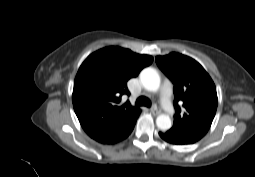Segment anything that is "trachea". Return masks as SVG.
<instances>
[{"mask_svg": "<svg viewBox=\"0 0 255 177\" xmlns=\"http://www.w3.org/2000/svg\"><path fill=\"white\" fill-rule=\"evenodd\" d=\"M136 105L151 107V101L148 98L141 96L136 100Z\"/></svg>", "mask_w": 255, "mask_h": 177, "instance_id": "3493384b", "label": "trachea"}]
</instances>
